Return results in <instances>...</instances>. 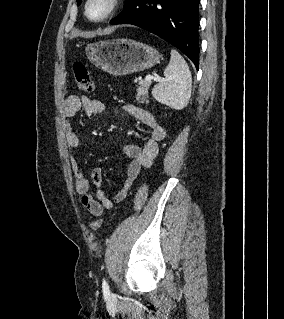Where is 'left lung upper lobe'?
<instances>
[{"mask_svg": "<svg viewBox=\"0 0 284 319\" xmlns=\"http://www.w3.org/2000/svg\"><path fill=\"white\" fill-rule=\"evenodd\" d=\"M130 1H131V0H126L125 6H126ZM77 3H78V5H80V4H81V0H77Z\"/></svg>", "mask_w": 284, "mask_h": 319, "instance_id": "obj_1", "label": "left lung upper lobe"}]
</instances>
